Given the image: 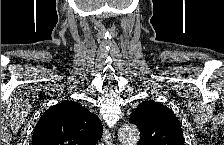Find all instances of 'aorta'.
Listing matches in <instances>:
<instances>
[{
  "mask_svg": "<svg viewBox=\"0 0 224 145\" xmlns=\"http://www.w3.org/2000/svg\"><path fill=\"white\" fill-rule=\"evenodd\" d=\"M118 137L122 145H136L140 139V133L135 125L124 124L118 131Z\"/></svg>",
  "mask_w": 224,
  "mask_h": 145,
  "instance_id": "1",
  "label": "aorta"
}]
</instances>
